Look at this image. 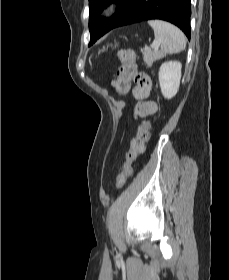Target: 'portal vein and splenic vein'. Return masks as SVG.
<instances>
[{"label": "portal vein and splenic vein", "mask_w": 229, "mask_h": 280, "mask_svg": "<svg viewBox=\"0 0 229 280\" xmlns=\"http://www.w3.org/2000/svg\"><path fill=\"white\" fill-rule=\"evenodd\" d=\"M151 47H152L153 49H158V47H159V42H158V41H154V42L152 43Z\"/></svg>", "instance_id": "1"}]
</instances>
